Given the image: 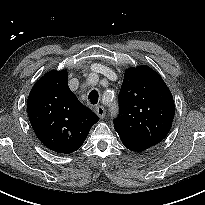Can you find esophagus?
<instances>
[{"label":"esophagus","mask_w":205,"mask_h":205,"mask_svg":"<svg viewBox=\"0 0 205 205\" xmlns=\"http://www.w3.org/2000/svg\"><path fill=\"white\" fill-rule=\"evenodd\" d=\"M95 112L100 118L105 117V108L103 106H96Z\"/></svg>","instance_id":"1"}]
</instances>
